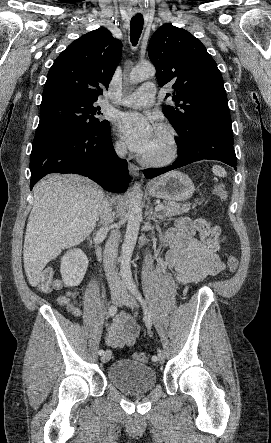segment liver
<instances>
[{
  "instance_id": "obj_1",
  "label": "liver",
  "mask_w": 271,
  "mask_h": 443,
  "mask_svg": "<svg viewBox=\"0 0 271 443\" xmlns=\"http://www.w3.org/2000/svg\"><path fill=\"white\" fill-rule=\"evenodd\" d=\"M33 194L23 261L27 279L35 287L48 261L93 231L105 194L94 182L76 174L46 176L34 186Z\"/></svg>"
}]
</instances>
